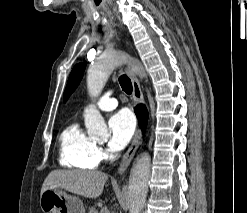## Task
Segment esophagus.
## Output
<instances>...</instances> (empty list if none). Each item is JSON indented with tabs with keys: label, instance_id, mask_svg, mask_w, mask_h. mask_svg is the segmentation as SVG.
<instances>
[{
	"label": "esophagus",
	"instance_id": "obj_1",
	"mask_svg": "<svg viewBox=\"0 0 247 213\" xmlns=\"http://www.w3.org/2000/svg\"><path fill=\"white\" fill-rule=\"evenodd\" d=\"M126 44L129 46V41H126ZM127 74L129 76V78L131 79L132 82V87H133V98L136 104H140L144 102V97H143V93L140 87V83L138 81V79L136 78V76L134 75V73L131 71V69L129 67H127ZM141 143V132L138 131L132 141L131 146L129 147V149L127 150V152L125 153L120 167L118 169V174H122L130 165L131 160L133 159L139 145Z\"/></svg>",
	"mask_w": 247,
	"mask_h": 213
}]
</instances>
